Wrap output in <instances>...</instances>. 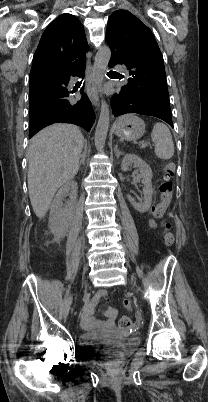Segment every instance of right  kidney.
Here are the masks:
<instances>
[{
  "instance_id": "right-kidney-1",
  "label": "right kidney",
  "mask_w": 208,
  "mask_h": 402,
  "mask_svg": "<svg viewBox=\"0 0 208 402\" xmlns=\"http://www.w3.org/2000/svg\"><path fill=\"white\" fill-rule=\"evenodd\" d=\"M77 184L74 180L66 182L57 192L50 210L49 226L50 232L54 234V240H60L66 236L69 230V224L72 216H74L77 206ZM69 196V202L63 204L62 200Z\"/></svg>"
}]
</instances>
